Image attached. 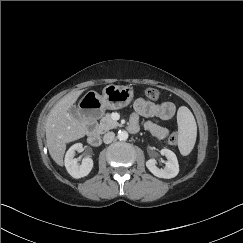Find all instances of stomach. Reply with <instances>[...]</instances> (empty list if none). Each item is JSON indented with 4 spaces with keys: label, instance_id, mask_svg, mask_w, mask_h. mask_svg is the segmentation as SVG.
<instances>
[{
    "label": "stomach",
    "instance_id": "1",
    "mask_svg": "<svg viewBox=\"0 0 243 243\" xmlns=\"http://www.w3.org/2000/svg\"><path fill=\"white\" fill-rule=\"evenodd\" d=\"M133 95L131 87L110 84L103 89L102 95L89 91L82 98L81 103L87 100L90 107L102 113L106 109L117 110L126 107L132 101Z\"/></svg>",
    "mask_w": 243,
    "mask_h": 243
}]
</instances>
